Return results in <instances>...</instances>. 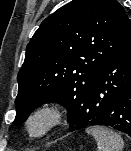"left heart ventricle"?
I'll use <instances>...</instances> for the list:
<instances>
[{
    "label": "left heart ventricle",
    "instance_id": "1",
    "mask_svg": "<svg viewBox=\"0 0 131 151\" xmlns=\"http://www.w3.org/2000/svg\"><path fill=\"white\" fill-rule=\"evenodd\" d=\"M42 126H43V121L37 120L33 123L32 128L34 131H38L39 129H41Z\"/></svg>",
    "mask_w": 131,
    "mask_h": 151
}]
</instances>
